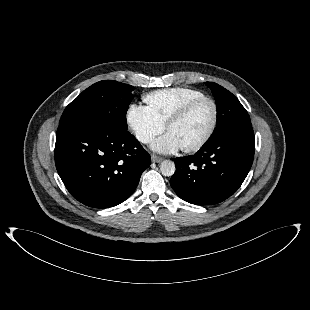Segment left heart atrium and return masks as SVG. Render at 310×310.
I'll return each instance as SVG.
<instances>
[{"label": "left heart atrium", "mask_w": 310, "mask_h": 310, "mask_svg": "<svg viewBox=\"0 0 310 310\" xmlns=\"http://www.w3.org/2000/svg\"><path fill=\"white\" fill-rule=\"evenodd\" d=\"M151 148L161 154H171L183 148L180 140L172 132H167L151 145Z\"/></svg>", "instance_id": "left-heart-atrium-1"}]
</instances>
